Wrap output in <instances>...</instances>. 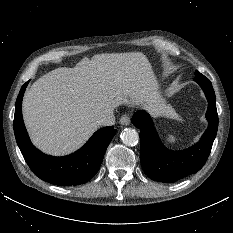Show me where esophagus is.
<instances>
[{
  "label": "esophagus",
  "instance_id": "obj_1",
  "mask_svg": "<svg viewBox=\"0 0 233 233\" xmlns=\"http://www.w3.org/2000/svg\"><path fill=\"white\" fill-rule=\"evenodd\" d=\"M120 123L124 126H127L130 124V116L127 114H124L121 118H120Z\"/></svg>",
  "mask_w": 233,
  "mask_h": 233
}]
</instances>
